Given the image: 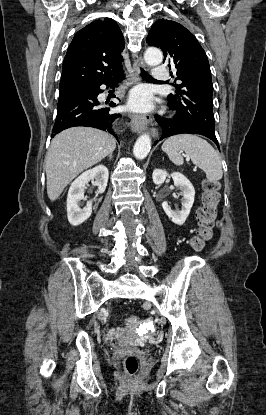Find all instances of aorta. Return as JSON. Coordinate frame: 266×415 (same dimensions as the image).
I'll use <instances>...</instances> for the list:
<instances>
[{"mask_svg": "<svg viewBox=\"0 0 266 415\" xmlns=\"http://www.w3.org/2000/svg\"><path fill=\"white\" fill-rule=\"evenodd\" d=\"M145 62L150 66L159 65L163 60L162 52L157 48H148L144 54ZM151 149V139L148 134L141 135L133 148V154L137 159H144Z\"/></svg>", "mask_w": 266, "mask_h": 415, "instance_id": "aorta-1", "label": "aorta"}]
</instances>
